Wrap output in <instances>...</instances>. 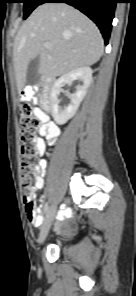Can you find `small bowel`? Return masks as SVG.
Here are the masks:
<instances>
[{
  "label": "small bowel",
  "instance_id": "obj_1",
  "mask_svg": "<svg viewBox=\"0 0 136 296\" xmlns=\"http://www.w3.org/2000/svg\"><path fill=\"white\" fill-rule=\"evenodd\" d=\"M27 91H30L31 88L28 87L26 88ZM37 116L38 118L42 121V125L39 128V135L40 138L36 140L37 145H38V155L43 156L45 153V148H46V143L48 144H53L56 142L60 131L57 125L49 121V117L46 113L43 111L38 110L37 111ZM45 167V162H41L39 166V175L36 178L35 181V189L37 190H42L44 187V179H43V169ZM39 220L38 221H32V224L34 226H40L42 221H43V216L41 213H39ZM69 211H63L61 213L60 218L62 219L64 216H68Z\"/></svg>",
  "mask_w": 136,
  "mask_h": 296
}]
</instances>
